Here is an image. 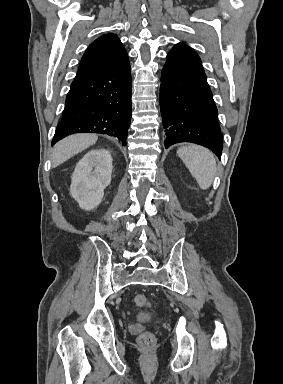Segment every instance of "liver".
<instances>
[{"label": "liver", "mask_w": 283, "mask_h": 384, "mask_svg": "<svg viewBox=\"0 0 283 384\" xmlns=\"http://www.w3.org/2000/svg\"><path fill=\"white\" fill-rule=\"evenodd\" d=\"M98 140L97 134H73L68 136L64 140L57 142L52 152V168H57L66 160H70L72 156H76L82 150L90 148L93 144H96Z\"/></svg>", "instance_id": "liver-1"}]
</instances>
